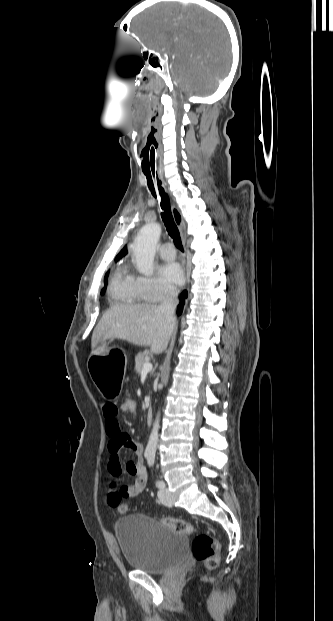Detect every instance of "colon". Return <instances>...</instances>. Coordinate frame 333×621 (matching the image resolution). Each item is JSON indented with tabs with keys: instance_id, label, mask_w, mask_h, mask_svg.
Returning a JSON list of instances; mask_svg holds the SVG:
<instances>
[{
	"instance_id": "1",
	"label": "colon",
	"mask_w": 333,
	"mask_h": 621,
	"mask_svg": "<svg viewBox=\"0 0 333 621\" xmlns=\"http://www.w3.org/2000/svg\"><path fill=\"white\" fill-rule=\"evenodd\" d=\"M120 407L124 413L134 414L137 411V401L133 394L121 397ZM120 513L127 511V506L120 503L117 506ZM162 522L175 531L190 535L194 533V527L184 519L167 517ZM220 542L207 534H198L193 541L192 550L197 561L201 562L207 569H215L220 561Z\"/></svg>"
}]
</instances>
